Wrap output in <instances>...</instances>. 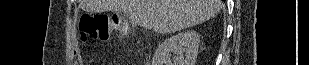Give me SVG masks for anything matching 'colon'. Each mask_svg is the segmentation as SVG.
Here are the masks:
<instances>
[{
    "mask_svg": "<svg viewBox=\"0 0 309 65\" xmlns=\"http://www.w3.org/2000/svg\"><path fill=\"white\" fill-rule=\"evenodd\" d=\"M79 30L83 43L91 40L105 42L112 33H116L124 40L130 36L129 30L122 27L112 16L102 14H82L79 20Z\"/></svg>",
    "mask_w": 309,
    "mask_h": 65,
    "instance_id": "colon-1",
    "label": "colon"
}]
</instances>
